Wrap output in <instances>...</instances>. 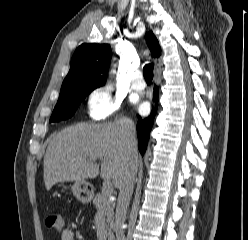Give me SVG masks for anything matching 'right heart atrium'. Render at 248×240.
Returning <instances> with one entry per match:
<instances>
[{
  "instance_id": "obj_1",
  "label": "right heart atrium",
  "mask_w": 248,
  "mask_h": 240,
  "mask_svg": "<svg viewBox=\"0 0 248 240\" xmlns=\"http://www.w3.org/2000/svg\"><path fill=\"white\" fill-rule=\"evenodd\" d=\"M122 99L113 95L108 85H101L90 90L86 97L87 115L97 121L117 115L121 109Z\"/></svg>"
}]
</instances>
